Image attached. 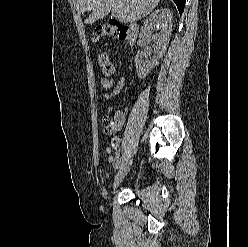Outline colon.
<instances>
[{"mask_svg": "<svg viewBox=\"0 0 248 247\" xmlns=\"http://www.w3.org/2000/svg\"><path fill=\"white\" fill-rule=\"evenodd\" d=\"M105 37H114L119 40H127L128 33L127 27L123 23L110 19L106 23H103L96 27L94 32V39L99 40ZM98 61L101 67L102 72L107 76H113L116 72L113 63L109 60L106 53L101 52L98 57ZM105 122L107 123V127L105 129L106 132H110L112 129V120L109 117L105 118Z\"/></svg>", "mask_w": 248, "mask_h": 247, "instance_id": "colon-1", "label": "colon"}]
</instances>
